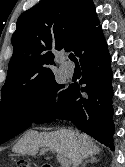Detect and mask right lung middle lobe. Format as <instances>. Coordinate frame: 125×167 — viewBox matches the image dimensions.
Listing matches in <instances>:
<instances>
[{
  "label": "right lung middle lobe",
  "mask_w": 125,
  "mask_h": 167,
  "mask_svg": "<svg viewBox=\"0 0 125 167\" xmlns=\"http://www.w3.org/2000/svg\"><path fill=\"white\" fill-rule=\"evenodd\" d=\"M51 78L43 84L0 104V144L31 126L53 104L61 102L67 89Z\"/></svg>",
  "instance_id": "right-lung-middle-lobe-1"
}]
</instances>
